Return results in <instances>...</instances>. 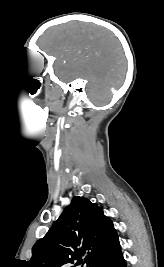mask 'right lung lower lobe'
<instances>
[{
  "instance_id": "1",
  "label": "right lung lower lobe",
  "mask_w": 164,
  "mask_h": 267,
  "mask_svg": "<svg viewBox=\"0 0 164 267\" xmlns=\"http://www.w3.org/2000/svg\"><path fill=\"white\" fill-rule=\"evenodd\" d=\"M93 267H126V262L121 253V249L108 253L101 257Z\"/></svg>"
}]
</instances>
